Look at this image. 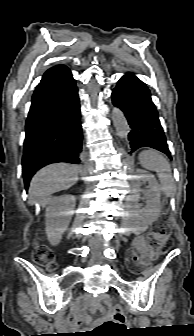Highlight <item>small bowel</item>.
Returning <instances> with one entry per match:
<instances>
[{
    "label": "small bowel",
    "mask_w": 194,
    "mask_h": 336,
    "mask_svg": "<svg viewBox=\"0 0 194 336\" xmlns=\"http://www.w3.org/2000/svg\"><path fill=\"white\" fill-rule=\"evenodd\" d=\"M137 246L143 250L145 249L144 241L142 238H139L137 240ZM84 321H85L84 318L81 316H73L70 318V322L75 326H81L84 323Z\"/></svg>",
    "instance_id": "obj_1"
}]
</instances>
